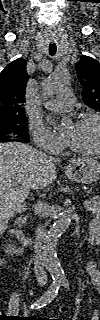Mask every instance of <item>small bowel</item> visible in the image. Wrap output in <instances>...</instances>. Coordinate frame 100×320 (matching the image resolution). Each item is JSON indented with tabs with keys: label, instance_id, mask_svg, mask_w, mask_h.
<instances>
[{
	"label": "small bowel",
	"instance_id": "1",
	"mask_svg": "<svg viewBox=\"0 0 100 320\" xmlns=\"http://www.w3.org/2000/svg\"><path fill=\"white\" fill-rule=\"evenodd\" d=\"M94 226L99 227L97 220L93 222V224L91 226V230ZM92 246H94V245H92ZM86 273L89 276L92 285L95 286L97 289H99L100 288V262H98V261L89 262L86 266Z\"/></svg>",
	"mask_w": 100,
	"mask_h": 320
}]
</instances>
